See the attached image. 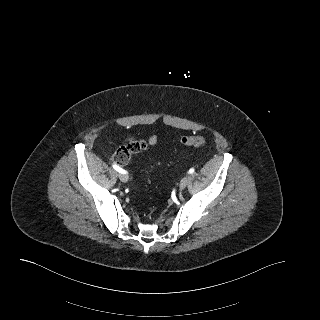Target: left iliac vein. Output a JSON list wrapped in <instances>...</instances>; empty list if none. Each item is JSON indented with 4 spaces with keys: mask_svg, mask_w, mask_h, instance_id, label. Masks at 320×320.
Wrapping results in <instances>:
<instances>
[{
    "mask_svg": "<svg viewBox=\"0 0 320 320\" xmlns=\"http://www.w3.org/2000/svg\"><path fill=\"white\" fill-rule=\"evenodd\" d=\"M189 183V177H183L180 181V189L183 190Z\"/></svg>",
    "mask_w": 320,
    "mask_h": 320,
    "instance_id": "left-iliac-vein-1",
    "label": "left iliac vein"
}]
</instances>
